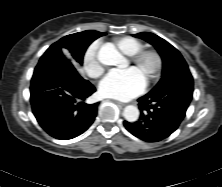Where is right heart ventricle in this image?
Wrapping results in <instances>:
<instances>
[{
  "label": "right heart ventricle",
  "instance_id": "right-heart-ventricle-1",
  "mask_svg": "<svg viewBox=\"0 0 222 187\" xmlns=\"http://www.w3.org/2000/svg\"><path fill=\"white\" fill-rule=\"evenodd\" d=\"M117 47L128 56H132L143 48L140 40L131 36H122L114 40Z\"/></svg>",
  "mask_w": 222,
  "mask_h": 187
}]
</instances>
